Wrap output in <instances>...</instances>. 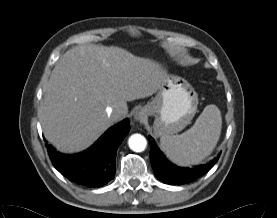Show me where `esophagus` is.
Masks as SVG:
<instances>
[{"mask_svg": "<svg viewBox=\"0 0 277 218\" xmlns=\"http://www.w3.org/2000/svg\"><path fill=\"white\" fill-rule=\"evenodd\" d=\"M134 118H135L136 121H140V122L144 121L147 118V112H146V110L144 108L139 109L135 113Z\"/></svg>", "mask_w": 277, "mask_h": 218, "instance_id": "obj_1", "label": "esophagus"}]
</instances>
